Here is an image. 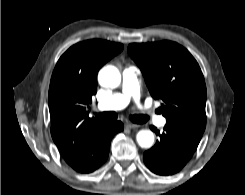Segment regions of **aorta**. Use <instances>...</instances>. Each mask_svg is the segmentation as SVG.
I'll use <instances>...</instances> for the list:
<instances>
[{
  "instance_id": "aorta-1",
  "label": "aorta",
  "mask_w": 245,
  "mask_h": 195,
  "mask_svg": "<svg viewBox=\"0 0 245 195\" xmlns=\"http://www.w3.org/2000/svg\"><path fill=\"white\" fill-rule=\"evenodd\" d=\"M98 81L103 87L117 88L121 83V74L116 67L106 66L99 71ZM136 139L140 147L150 148L154 142V134L150 130H140Z\"/></svg>"
}]
</instances>
